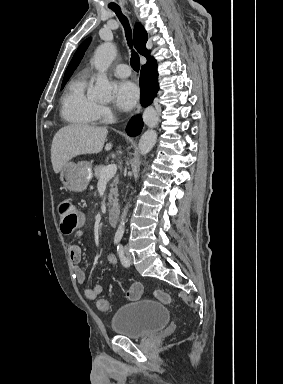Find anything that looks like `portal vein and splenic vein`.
<instances>
[{
    "label": "portal vein and splenic vein",
    "instance_id": "18ae733b",
    "mask_svg": "<svg viewBox=\"0 0 283 384\" xmlns=\"http://www.w3.org/2000/svg\"><path fill=\"white\" fill-rule=\"evenodd\" d=\"M117 172V166L115 164H109L106 168H103L100 174L99 182H108L111 178H114V174Z\"/></svg>",
    "mask_w": 283,
    "mask_h": 384
}]
</instances>
